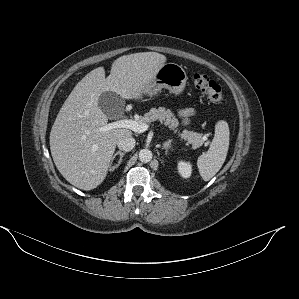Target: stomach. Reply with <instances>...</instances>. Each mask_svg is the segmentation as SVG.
Masks as SVG:
<instances>
[{
	"label": "stomach",
	"mask_w": 299,
	"mask_h": 299,
	"mask_svg": "<svg viewBox=\"0 0 299 299\" xmlns=\"http://www.w3.org/2000/svg\"><path fill=\"white\" fill-rule=\"evenodd\" d=\"M187 74L181 65L165 63L156 71L155 75L144 90L146 96H155L162 88L168 89L175 95L182 94L187 82Z\"/></svg>",
	"instance_id": "1"
}]
</instances>
